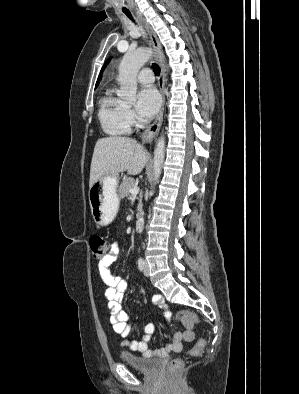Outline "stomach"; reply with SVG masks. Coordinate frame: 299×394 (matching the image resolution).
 Returning a JSON list of instances; mask_svg holds the SVG:
<instances>
[{
	"label": "stomach",
	"instance_id": "obj_1",
	"mask_svg": "<svg viewBox=\"0 0 299 394\" xmlns=\"http://www.w3.org/2000/svg\"><path fill=\"white\" fill-rule=\"evenodd\" d=\"M118 183L116 175L105 176L89 189L91 213L98 226L110 224L117 214L120 202L117 194Z\"/></svg>",
	"mask_w": 299,
	"mask_h": 394
}]
</instances>
